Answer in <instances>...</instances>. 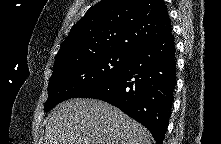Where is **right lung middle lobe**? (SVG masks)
<instances>
[{"mask_svg":"<svg viewBox=\"0 0 221 144\" xmlns=\"http://www.w3.org/2000/svg\"><path fill=\"white\" fill-rule=\"evenodd\" d=\"M131 54L110 51L89 56L54 68L48 84L44 111L67 99L80 97L112 78L130 59Z\"/></svg>","mask_w":221,"mask_h":144,"instance_id":"right-lung-middle-lobe-1","label":"right lung middle lobe"}]
</instances>
